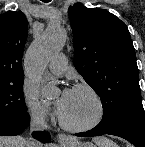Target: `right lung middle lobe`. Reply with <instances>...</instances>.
<instances>
[{
    "label": "right lung middle lobe",
    "instance_id": "right-lung-middle-lobe-1",
    "mask_svg": "<svg viewBox=\"0 0 145 147\" xmlns=\"http://www.w3.org/2000/svg\"><path fill=\"white\" fill-rule=\"evenodd\" d=\"M23 83L24 76L0 83V125L18 122L28 115Z\"/></svg>",
    "mask_w": 145,
    "mask_h": 147
}]
</instances>
